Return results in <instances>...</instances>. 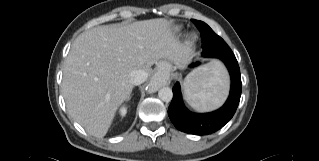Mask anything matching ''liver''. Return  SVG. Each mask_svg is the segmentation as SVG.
<instances>
[{
    "label": "liver",
    "instance_id": "obj_1",
    "mask_svg": "<svg viewBox=\"0 0 319 161\" xmlns=\"http://www.w3.org/2000/svg\"><path fill=\"white\" fill-rule=\"evenodd\" d=\"M183 52L166 19L104 25L82 33L64 63L62 91L68 113L89 134L105 136L132 92L129 73L150 74L159 60H175Z\"/></svg>",
    "mask_w": 319,
    "mask_h": 161
}]
</instances>
